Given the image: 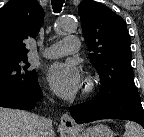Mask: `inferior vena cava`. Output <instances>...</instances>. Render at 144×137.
Wrapping results in <instances>:
<instances>
[{"label":"inferior vena cava","mask_w":144,"mask_h":137,"mask_svg":"<svg viewBox=\"0 0 144 137\" xmlns=\"http://www.w3.org/2000/svg\"><path fill=\"white\" fill-rule=\"evenodd\" d=\"M40 137H54L51 119H43L40 127Z\"/></svg>","instance_id":"1"}]
</instances>
